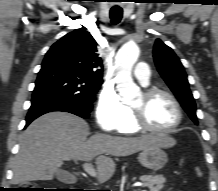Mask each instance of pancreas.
I'll list each match as a JSON object with an SVG mask.
<instances>
[{
	"instance_id": "cf45deb5",
	"label": "pancreas",
	"mask_w": 218,
	"mask_h": 191,
	"mask_svg": "<svg viewBox=\"0 0 218 191\" xmlns=\"http://www.w3.org/2000/svg\"><path fill=\"white\" fill-rule=\"evenodd\" d=\"M140 180L143 182V185L145 187H148L150 189V191H160L166 181V179L162 175H143L140 177Z\"/></svg>"
}]
</instances>
